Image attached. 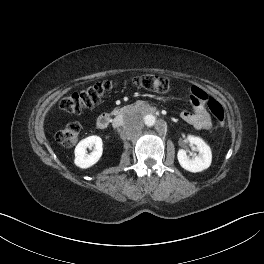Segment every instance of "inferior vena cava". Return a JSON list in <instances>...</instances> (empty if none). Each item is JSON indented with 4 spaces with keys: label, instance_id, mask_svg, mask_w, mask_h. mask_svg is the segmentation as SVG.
<instances>
[{
    "label": "inferior vena cava",
    "instance_id": "obj_1",
    "mask_svg": "<svg viewBox=\"0 0 264 264\" xmlns=\"http://www.w3.org/2000/svg\"><path fill=\"white\" fill-rule=\"evenodd\" d=\"M112 125H113V127H115V128L122 127V126L124 125V120H123V118H121V117H117V118H115V120H113V122H112Z\"/></svg>",
    "mask_w": 264,
    "mask_h": 264
}]
</instances>
